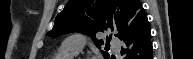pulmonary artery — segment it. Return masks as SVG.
<instances>
[{
    "label": "pulmonary artery",
    "instance_id": "obj_1",
    "mask_svg": "<svg viewBox=\"0 0 193 59\" xmlns=\"http://www.w3.org/2000/svg\"><path fill=\"white\" fill-rule=\"evenodd\" d=\"M113 44L116 46H122L123 43L117 40H113ZM83 47V42L80 40L79 35H71L66 38L62 47L64 50H69L74 53H79Z\"/></svg>",
    "mask_w": 193,
    "mask_h": 59
}]
</instances>
